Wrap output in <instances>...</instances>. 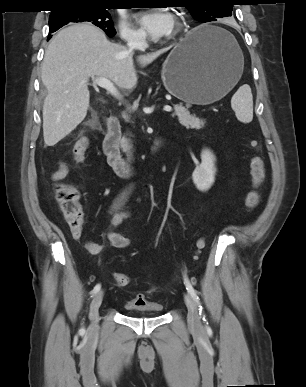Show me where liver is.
<instances>
[{"instance_id":"6515ba94","label":"liver","mask_w":306,"mask_h":387,"mask_svg":"<svg viewBox=\"0 0 306 387\" xmlns=\"http://www.w3.org/2000/svg\"><path fill=\"white\" fill-rule=\"evenodd\" d=\"M167 49L140 55L142 66L152 63ZM90 77L111 80L120 89L137 84L133 52L111 43L105 33L89 23L74 24L54 36L45 51L41 79L47 89L43 105V136L54 146L86 117Z\"/></svg>"}]
</instances>
